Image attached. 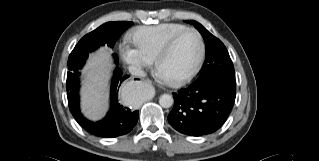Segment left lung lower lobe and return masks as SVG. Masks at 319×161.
<instances>
[{
  "label": "left lung lower lobe",
  "mask_w": 319,
  "mask_h": 161,
  "mask_svg": "<svg viewBox=\"0 0 319 161\" xmlns=\"http://www.w3.org/2000/svg\"><path fill=\"white\" fill-rule=\"evenodd\" d=\"M236 87L220 80L195 81L173 93L174 106L168 121L178 132L190 136L219 129L233 107Z\"/></svg>",
  "instance_id": "obj_1"
}]
</instances>
